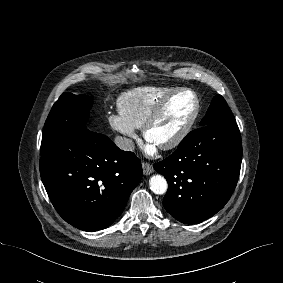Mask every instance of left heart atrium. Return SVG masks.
Wrapping results in <instances>:
<instances>
[{"label":"left heart atrium","instance_id":"left-heart-atrium-1","mask_svg":"<svg viewBox=\"0 0 283 283\" xmlns=\"http://www.w3.org/2000/svg\"><path fill=\"white\" fill-rule=\"evenodd\" d=\"M146 150H147V153H148L149 155H154V154L156 153V151H157V150H156V144H154V143H152V142L150 141V143L148 144Z\"/></svg>","mask_w":283,"mask_h":283}]
</instances>
